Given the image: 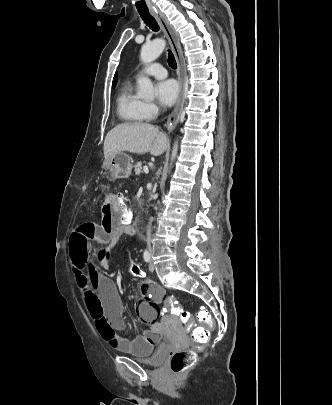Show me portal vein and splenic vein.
I'll use <instances>...</instances> for the list:
<instances>
[{"instance_id": "obj_1", "label": "portal vein and splenic vein", "mask_w": 332, "mask_h": 405, "mask_svg": "<svg viewBox=\"0 0 332 405\" xmlns=\"http://www.w3.org/2000/svg\"><path fill=\"white\" fill-rule=\"evenodd\" d=\"M144 172H145L146 174L149 173V170H148V167H147V166L144 167Z\"/></svg>"}]
</instances>
